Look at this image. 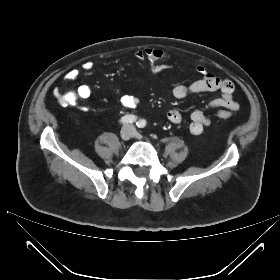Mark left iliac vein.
<instances>
[{
  "label": "left iliac vein",
  "mask_w": 280,
  "mask_h": 280,
  "mask_svg": "<svg viewBox=\"0 0 280 280\" xmlns=\"http://www.w3.org/2000/svg\"><path fill=\"white\" fill-rule=\"evenodd\" d=\"M132 136L137 138V139H141L142 138V136L140 134L136 133V132H133Z\"/></svg>",
  "instance_id": "1"
}]
</instances>
